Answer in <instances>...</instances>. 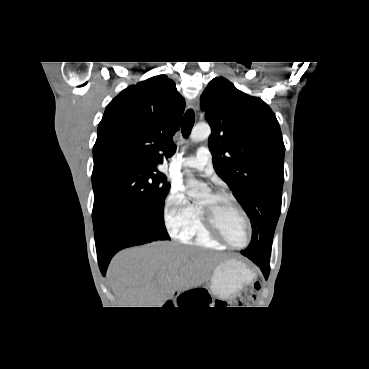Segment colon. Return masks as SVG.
<instances>
[{
  "label": "colon",
  "mask_w": 369,
  "mask_h": 369,
  "mask_svg": "<svg viewBox=\"0 0 369 369\" xmlns=\"http://www.w3.org/2000/svg\"><path fill=\"white\" fill-rule=\"evenodd\" d=\"M260 290V284H255V286L250 289L249 291H246L245 293H242L238 299L235 301V305L237 307H248L251 306L256 298V293Z\"/></svg>",
  "instance_id": "obj_1"
}]
</instances>
